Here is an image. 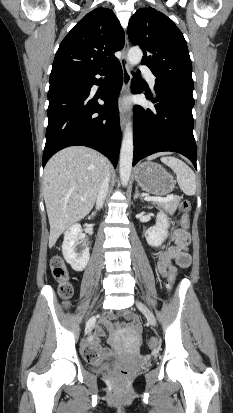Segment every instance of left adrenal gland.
Here are the masks:
<instances>
[{
  "mask_svg": "<svg viewBox=\"0 0 233 413\" xmlns=\"http://www.w3.org/2000/svg\"><path fill=\"white\" fill-rule=\"evenodd\" d=\"M137 198L142 199V196H141V194L139 193V190H138V186H136V188H135V195H134V199H137Z\"/></svg>",
  "mask_w": 233,
  "mask_h": 413,
  "instance_id": "a2214340",
  "label": "left adrenal gland"
}]
</instances>
